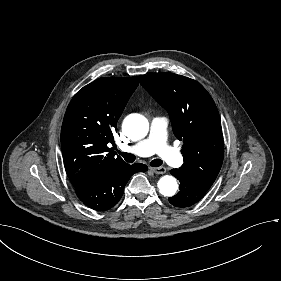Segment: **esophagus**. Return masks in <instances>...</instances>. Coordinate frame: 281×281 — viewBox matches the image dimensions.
I'll return each instance as SVG.
<instances>
[{"instance_id":"esophagus-1","label":"esophagus","mask_w":281,"mask_h":281,"mask_svg":"<svg viewBox=\"0 0 281 281\" xmlns=\"http://www.w3.org/2000/svg\"><path fill=\"white\" fill-rule=\"evenodd\" d=\"M151 170L155 174H165L166 173V168L165 167H153V168H151Z\"/></svg>"}]
</instances>
